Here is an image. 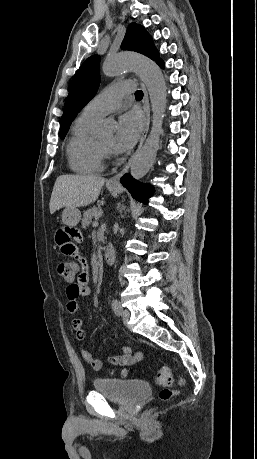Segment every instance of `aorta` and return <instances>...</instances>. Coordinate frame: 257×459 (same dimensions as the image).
<instances>
[{
    "instance_id": "762f6f07",
    "label": "aorta",
    "mask_w": 257,
    "mask_h": 459,
    "mask_svg": "<svg viewBox=\"0 0 257 459\" xmlns=\"http://www.w3.org/2000/svg\"><path fill=\"white\" fill-rule=\"evenodd\" d=\"M129 69H134L145 83L153 112L150 134L131 162V175L139 180L148 173L156 158L167 103V87L159 66L141 55L120 53L109 56L102 68L106 76H115ZM112 129L113 122L105 121L98 133L101 136L110 135Z\"/></svg>"
}]
</instances>
